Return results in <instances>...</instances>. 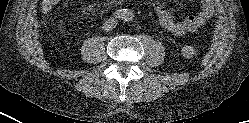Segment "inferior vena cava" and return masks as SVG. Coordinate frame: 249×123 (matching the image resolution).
Masks as SVG:
<instances>
[{
    "instance_id": "1",
    "label": "inferior vena cava",
    "mask_w": 249,
    "mask_h": 123,
    "mask_svg": "<svg viewBox=\"0 0 249 123\" xmlns=\"http://www.w3.org/2000/svg\"><path fill=\"white\" fill-rule=\"evenodd\" d=\"M117 25V22L115 20H107L104 25H103V30L108 32L111 31L112 29H114Z\"/></svg>"
}]
</instances>
